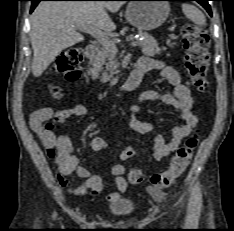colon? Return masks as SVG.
Returning <instances> with one entry per match:
<instances>
[{"label":"colon","instance_id":"5ec220e1","mask_svg":"<svg viewBox=\"0 0 234 231\" xmlns=\"http://www.w3.org/2000/svg\"><path fill=\"white\" fill-rule=\"evenodd\" d=\"M182 43L185 49V65L190 76L192 85L198 92H203L207 85V73L209 67V36L202 27L187 24L182 27ZM83 58L79 47H70L64 50L57 58L53 71L63 74L69 80H76L80 76L79 64ZM56 97L59 96L54 91ZM198 145V137L193 135L187 139L185 144L177 149L172 157L168 168L162 172L155 173L150 177L151 193L156 195L159 190L170 187L186 170L194 151ZM135 157V150L131 147L125 148L120 159L131 161ZM144 175L140 168L133 167L129 170L128 180L132 184L143 181Z\"/></svg>","mask_w":234,"mask_h":231}]
</instances>
